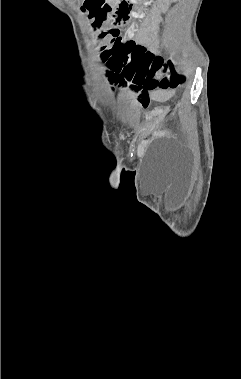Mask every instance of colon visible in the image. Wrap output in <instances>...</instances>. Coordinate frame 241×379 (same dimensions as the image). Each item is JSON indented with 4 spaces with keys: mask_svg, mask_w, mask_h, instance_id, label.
Returning a JSON list of instances; mask_svg holds the SVG:
<instances>
[{
    "mask_svg": "<svg viewBox=\"0 0 241 379\" xmlns=\"http://www.w3.org/2000/svg\"><path fill=\"white\" fill-rule=\"evenodd\" d=\"M82 9L94 27H100L102 22L111 18V10L105 0H84ZM98 38L105 43L101 48V57L109 68L100 70L99 76L107 82H124L127 88L136 89L141 83L165 88L176 86L183 80L174 71L171 62L155 56L143 45L131 40L118 41L114 28L101 31Z\"/></svg>",
    "mask_w": 241,
    "mask_h": 379,
    "instance_id": "colon-1",
    "label": "colon"
}]
</instances>
